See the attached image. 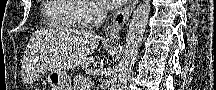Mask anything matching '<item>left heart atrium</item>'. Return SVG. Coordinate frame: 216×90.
Wrapping results in <instances>:
<instances>
[{
  "instance_id": "obj_1",
  "label": "left heart atrium",
  "mask_w": 216,
  "mask_h": 90,
  "mask_svg": "<svg viewBox=\"0 0 216 90\" xmlns=\"http://www.w3.org/2000/svg\"><path fill=\"white\" fill-rule=\"evenodd\" d=\"M102 10H115L116 7H121L124 0H97Z\"/></svg>"
}]
</instances>
